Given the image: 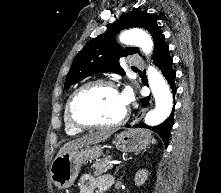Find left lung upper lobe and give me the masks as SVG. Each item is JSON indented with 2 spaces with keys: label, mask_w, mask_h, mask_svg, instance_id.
Listing matches in <instances>:
<instances>
[{
  "label": "left lung upper lobe",
  "mask_w": 221,
  "mask_h": 193,
  "mask_svg": "<svg viewBox=\"0 0 221 193\" xmlns=\"http://www.w3.org/2000/svg\"><path fill=\"white\" fill-rule=\"evenodd\" d=\"M130 27H141L148 30L154 39V51L165 41L155 18L147 11H133L123 15L112 30L97 36L88 42L77 54L66 77L64 90L72 84L97 73L114 72L124 75L119 64L121 57L139 53L138 48L118 45L114 36L120 30Z\"/></svg>",
  "instance_id": "left-lung-upper-lobe-1"
}]
</instances>
